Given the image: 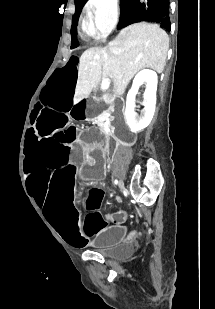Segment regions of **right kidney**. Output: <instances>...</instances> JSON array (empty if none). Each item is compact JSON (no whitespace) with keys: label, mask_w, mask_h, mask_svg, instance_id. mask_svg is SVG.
Returning <instances> with one entry per match:
<instances>
[{"label":"right kidney","mask_w":215,"mask_h":309,"mask_svg":"<svg viewBox=\"0 0 215 309\" xmlns=\"http://www.w3.org/2000/svg\"><path fill=\"white\" fill-rule=\"evenodd\" d=\"M146 82V88L144 92V116L138 120L136 118L135 108V96L138 92L139 86ZM157 74L154 70H149V68H144V70H140L138 74H136L133 84L127 94L126 100V108H125V116L127 120V124H129L131 130H141V128H145L148 126L149 122H151L153 118V114L155 112V104H156V90H157ZM130 106L131 116H129L127 112V106Z\"/></svg>","instance_id":"ca27d5eb"}]
</instances>
